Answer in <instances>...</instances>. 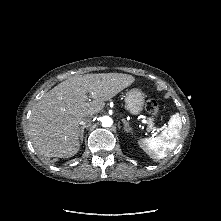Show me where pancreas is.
<instances>
[{"instance_id": "obj_1", "label": "pancreas", "mask_w": 221, "mask_h": 221, "mask_svg": "<svg viewBox=\"0 0 221 221\" xmlns=\"http://www.w3.org/2000/svg\"><path fill=\"white\" fill-rule=\"evenodd\" d=\"M147 123H148V126L149 127H153V125H154V123H153V120L152 119H148V121H147Z\"/></svg>"}]
</instances>
